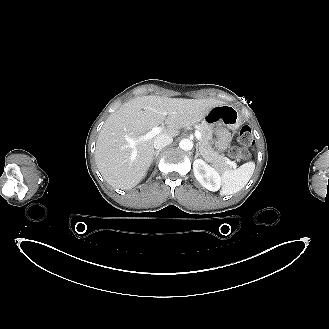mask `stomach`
I'll list each match as a JSON object with an SVG mask.
<instances>
[{"instance_id":"obj_1","label":"stomach","mask_w":329,"mask_h":329,"mask_svg":"<svg viewBox=\"0 0 329 329\" xmlns=\"http://www.w3.org/2000/svg\"><path fill=\"white\" fill-rule=\"evenodd\" d=\"M204 120L208 123L219 122L231 130L238 129L242 124L239 111L228 104L214 106L206 114Z\"/></svg>"}]
</instances>
